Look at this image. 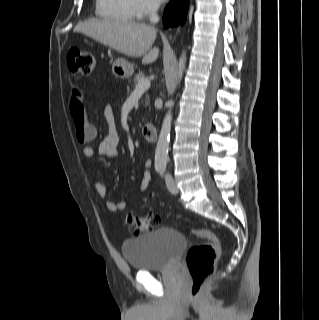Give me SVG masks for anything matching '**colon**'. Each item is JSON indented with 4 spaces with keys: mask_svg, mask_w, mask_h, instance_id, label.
I'll use <instances>...</instances> for the list:
<instances>
[{
    "mask_svg": "<svg viewBox=\"0 0 319 320\" xmlns=\"http://www.w3.org/2000/svg\"><path fill=\"white\" fill-rule=\"evenodd\" d=\"M67 63L71 72L82 76H89L94 67L92 54L73 48L67 55ZM76 139L80 143L92 140L93 131L84 122L74 121ZM160 217L154 214L140 216L129 214L127 225L134 235L157 228L160 225ZM193 235L207 242L192 246L186 254V265L191 276L189 294L192 297L201 295L202 287L210 278L216 268V262L221 250L219 237L207 229H194Z\"/></svg>",
    "mask_w": 319,
    "mask_h": 320,
    "instance_id": "1",
    "label": "colon"
}]
</instances>
